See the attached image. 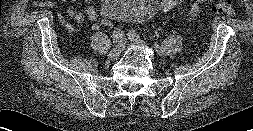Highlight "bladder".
Wrapping results in <instances>:
<instances>
[{"mask_svg":"<svg viewBox=\"0 0 253 131\" xmlns=\"http://www.w3.org/2000/svg\"><path fill=\"white\" fill-rule=\"evenodd\" d=\"M156 6L151 0H107L104 17L111 21L141 20L153 16Z\"/></svg>","mask_w":253,"mask_h":131,"instance_id":"31cf9c89","label":"bladder"}]
</instances>
